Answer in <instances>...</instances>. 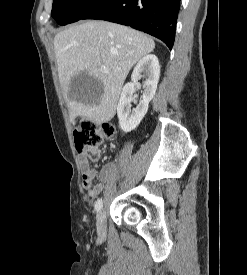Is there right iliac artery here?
Returning a JSON list of instances; mask_svg holds the SVG:
<instances>
[{
    "label": "right iliac artery",
    "instance_id": "obj_1",
    "mask_svg": "<svg viewBox=\"0 0 247 275\" xmlns=\"http://www.w3.org/2000/svg\"><path fill=\"white\" fill-rule=\"evenodd\" d=\"M103 206V201L102 199H98L95 203V210L98 212Z\"/></svg>",
    "mask_w": 247,
    "mask_h": 275
}]
</instances>
